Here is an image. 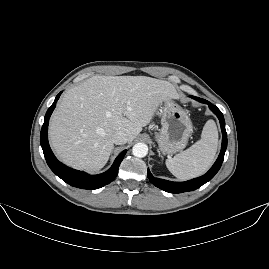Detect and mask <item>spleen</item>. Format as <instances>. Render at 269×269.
Listing matches in <instances>:
<instances>
[{
  "label": "spleen",
  "instance_id": "1",
  "mask_svg": "<svg viewBox=\"0 0 269 269\" xmlns=\"http://www.w3.org/2000/svg\"><path fill=\"white\" fill-rule=\"evenodd\" d=\"M217 142L216 125L213 120H208L203 126L200 140L195 145L166 160L168 170L180 180L204 173L213 163Z\"/></svg>",
  "mask_w": 269,
  "mask_h": 269
}]
</instances>
